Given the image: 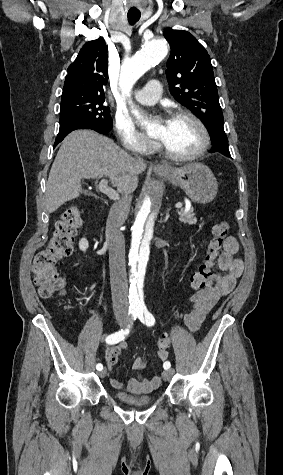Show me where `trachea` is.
Instances as JSON below:
<instances>
[{
    "label": "trachea",
    "mask_w": 283,
    "mask_h": 475,
    "mask_svg": "<svg viewBox=\"0 0 283 475\" xmlns=\"http://www.w3.org/2000/svg\"><path fill=\"white\" fill-rule=\"evenodd\" d=\"M128 21L131 25L135 24L136 22H138V20L140 19L141 17V13L139 11L137 12H128Z\"/></svg>",
    "instance_id": "1"
}]
</instances>
